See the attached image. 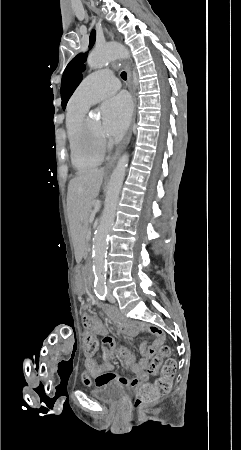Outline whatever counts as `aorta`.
<instances>
[{
  "instance_id": "obj_1",
  "label": "aorta",
  "mask_w": 241,
  "mask_h": 450,
  "mask_svg": "<svg viewBox=\"0 0 241 450\" xmlns=\"http://www.w3.org/2000/svg\"><path fill=\"white\" fill-rule=\"evenodd\" d=\"M129 51L119 43H107L95 48L88 56L87 64L91 69H99L117 58H128ZM129 161L124 154L113 170L107 186L104 209L93 238V272L95 284L102 286L106 281V256L108 235L115 220L116 208L120 198L125 173Z\"/></svg>"
}]
</instances>
